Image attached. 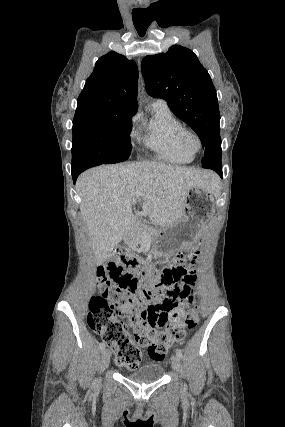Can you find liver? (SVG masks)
Instances as JSON below:
<instances>
[{
  "mask_svg": "<svg viewBox=\"0 0 285 427\" xmlns=\"http://www.w3.org/2000/svg\"><path fill=\"white\" fill-rule=\"evenodd\" d=\"M217 192L218 179L206 170L160 162L103 165L82 173L76 183L80 212L97 264L103 263L135 225L132 206L143 200V214L165 228L182 216L187 192Z\"/></svg>",
  "mask_w": 285,
  "mask_h": 427,
  "instance_id": "6515ba94",
  "label": "liver"
}]
</instances>
